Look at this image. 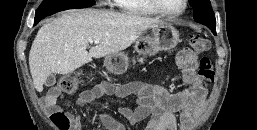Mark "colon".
<instances>
[{
  "mask_svg": "<svg viewBox=\"0 0 257 130\" xmlns=\"http://www.w3.org/2000/svg\"><path fill=\"white\" fill-rule=\"evenodd\" d=\"M190 45L194 53L200 54L206 51L209 47L208 41L199 36L192 35L190 37ZM198 74L202 79V86L206 88L209 86L215 77V72L211 60L208 57H201L199 61ZM83 73L74 72L62 77L58 84L53 88L55 93H67L72 94L77 91L78 87L82 83ZM52 122L59 130L70 129V117L64 112H54L51 115Z\"/></svg>",
  "mask_w": 257,
  "mask_h": 130,
  "instance_id": "5ec220e1",
  "label": "colon"
}]
</instances>
